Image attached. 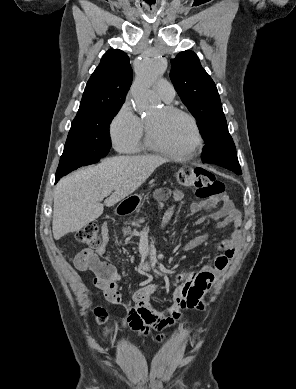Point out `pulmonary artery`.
Wrapping results in <instances>:
<instances>
[{
  "mask_svg": "<svg viewBox=\"0 0 296 389\" xmlns=\"http://www.w3.org/2000/svg\"><path fill=\"white\" fill-rule=\"evenodd\" d=\"M154 90L164 101L167 102L171 101L175 96V90L172 84L165 79L158 80L154 85Z\"/></svg>",
  "mask_w": 296,
  "mask_h": 389,
  "instance_id": "1",
  "label": "pulmonary artery"
}]
</instances>
